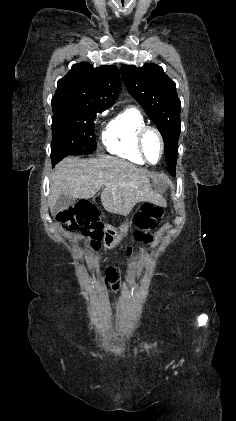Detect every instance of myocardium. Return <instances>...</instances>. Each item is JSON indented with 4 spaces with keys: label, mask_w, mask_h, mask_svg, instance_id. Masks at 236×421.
Segmentation results:
<instances>
[{
    "label": "myocardium",
    "mask_w": 236,
    "mask_h": 421,
    "mask_svg": "<svg viewBox=\"0 0 236 421\" xmlns=\"http://www.w3.org/2000/svg\"><path fill=\"white\" fill-rule=\"evenodd\" d=\"M149 133H154L158 137V139L161 143L162 152H161V158H160L159 162H161L163 157H164L166 144H165V139H164L162 133L157 128H155L153 126L145 125L137 133L136 141H137V147H138V150H139L140 154L142 155V157H143V159L146 163H148L149 165H155L157 163L153 164L148 160L147 153H146V150H145V138H146L147 134H149Z\"/></svg>",
    "instance_id": "1"
}]
</instances>
